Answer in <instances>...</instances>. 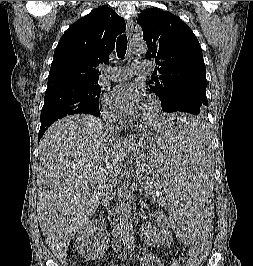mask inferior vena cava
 <instances>
[{
    "mask_svg": "<svg viewBox=\"0 0 253 266\" xmlns=\"http://www.w3.org/2000/svg\"><path fill=\"white\" fill-rule=\"evenodd\" d=\"M104 121L106 123V128H105V134L107 135L108 138L112 139L113 141L120 140V132H121V127L119 126L122 122L121 119H119L118 116L114 114H105L103 116ZM109 184L106 186V191L103 194L104 197V204L106 205H111L112 209L109 210V213L111 216H113L112 219V224L114 230L118 233L120 231L119 229V224H118V207H113V202L116 201V177L112 176L109 179ZM115 205V204H114Z\"/></svg>",
    "mask_w": 253,
    "mask_h": 266,
    "instance_id": "inferior-vena-cava-1",
    "label": "inferior vena cava"
}]
</instances>
